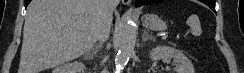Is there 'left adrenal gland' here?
Returning <instances> with one entry per match:
<instances>
[{
	"label": "left adrenal gland",
	"instance_id": "1",
	"mask_svg": "<svg viewBox=\"0 0 244 73\" xmlns=\"http://www.w3.org/2000/svg\"><path fill=\"white\" fill-rule=\"evenodd\" d=\"M149 39L155 41V37H153L152 35H149V33L146 30H144L143 35H142V41L146 42Z\"/></svg>",
	"mask_w": 244,
	"mask_h": 73
}]
</instances>
